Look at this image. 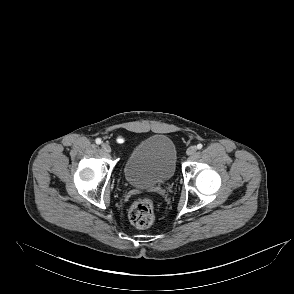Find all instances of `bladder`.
Segmentation results:
<instances>
[{"mask_svg":"<svg viewBox=\"0 0 294 294\" xmlns=\"http://www.w3.org/2000/svg\"><path fill=\"white\" fill-rule=\"evenodd\" d=\"M177 149L171 138L155 134L140 141L123 167L125 181L138 189L168 181L175 173Z\"/></svg>","mask_w":294,"mask_h":294,"instance_id":"1","label":"bladder"}]
</instances>
